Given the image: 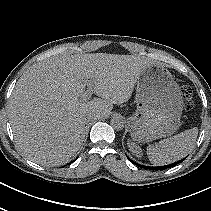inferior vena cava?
Instances as JSON below:
<instances>
[{
    "label": "inferior vena cava",
    "instance_id": "602c4592",
    "mask_svg": "<svg viewBox=\"0 0 211 211\" xmlns=\"http://www.w3.org/2000/svg\"><path fill=\"white\" fill-rule=\"evenodd\" d=\"M95 118H96L95 115H87V116L85 117V122H89V121H91V120H93V119H95Z\"/></svg>",
    "mask_w": 211,
    "mask_h": 211
}]
</instances>
